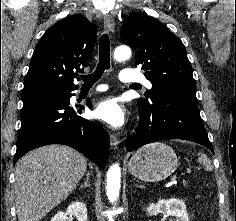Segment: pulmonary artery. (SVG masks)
Here are the masks:
<instances>
[{
    "instance_id": "1",
    "label": "pulmonary artery",
    "mask_w": 236,
    "mask_h": 221,
    "mask_svg": "<svg viewBox=\"0 0 236 221\" xmlns=\"http://www.w3.org/2000/svg\"><path fill=\"white\" fill-rule=\"evenodd\" d=\"M120 80L124 82L134 83V82H141L143 83L147 88H151L152 84L141 74L136 73L132 70L124 69L119 74ZM107 90V87L105 85L100 86L96 89V91H105Z\"/></svg>"
}]
</instances>
